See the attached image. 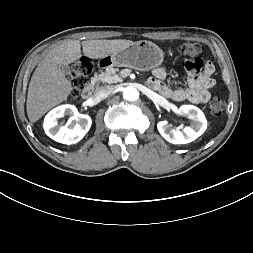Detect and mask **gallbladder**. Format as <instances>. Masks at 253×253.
Returning a JSON list of instances; mask_svg holds the SVG:
<instances>
[{"mask_svg": "<svg viewBox=\"0 0 253 253\" xmlns=\"http://www.w3.org/2000/svg\"><path fill=\"white\" fill-rule=\"evenodd\" d=\"M60 68L65 75H69L71 73V69L68 65H61Z\"/></svg>", "mask_w": 253, "mask_h": 253, "instance_id": "obj_1", "label": "gallbladder"}]
</instances>
